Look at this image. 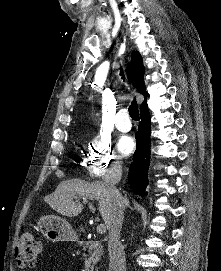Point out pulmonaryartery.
I'll return each instance as SVG.
<instances>
[{
  "label": "pulmonary artery",
  "instance_id": "obj_1",
  "mask_svg": "<svg viewBox=\"0 0 221 271\" xmlns=\"http://www.w3.org/2000/svg\"><path fill=\"white\" fill-rule=\"evenodd\" d=\"M112 117H114V124L121 132H127L129 130L128 127H122L130 126L131 117H128V112H112Z\"/></svg>",
  "mask_w": 221,
  "mask_h": 271
}]
</instances>
